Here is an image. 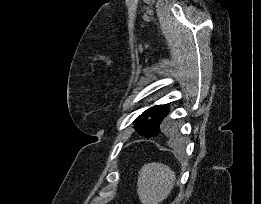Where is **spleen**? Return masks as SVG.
<instances>
[{
  "label": "spleen",
  "instance_id": "spleen-1",
  "mask_svg": "<svg viewBox=\"0 0 261 204\" xmlns=\"http://www.w3.org/2000/svg\"><path fill=\"white\" fill-rule=\"evenodd\" d=\"M175 173L159 162L143 165L139 171L137 193L143 204H159L172 191Z\"/></svg>",
  "mask_w": 261,
  "mask_h": 204
}]
</instances>
